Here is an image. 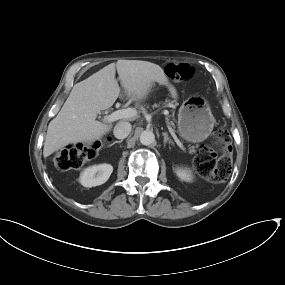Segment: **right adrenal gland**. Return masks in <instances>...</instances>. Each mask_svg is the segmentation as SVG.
<instances>
[{"label": "right adrenal gland", "mask_w": 285, "mask_h": 285, "mask_svg": "<svg viewBox=\"0 0 285 285\" xmlns=\"http://www.w3.org/2000/svg\"><path fill=\"white\" fill-rule=\"evenodd\" d=\"M123 140H119V141H114L110 146L116 144V143H122Z\"/></svg>", "instance_id": "2a0ac1e0"}]
</instances>
